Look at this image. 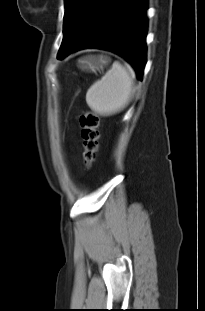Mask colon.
Here are the masks:
<instances>
[{
  "mask_svg": "<svg viewBox=\"0 0 205 311\" xmlns=\"http://www.w3.org/2000/svg\"><path fill=\"white\" fill-rule=\"evenodd\" d=\"M79 123L81 127V140L83 146V161L87 168H90L97 157L99 148V116L92 112H84L80 118Z\"/></svg>",
  "mask_w": 205,
  "mask_h": 311,
  "instance_id": "obj_1",
  "label": "colon"
}]
</instances>
